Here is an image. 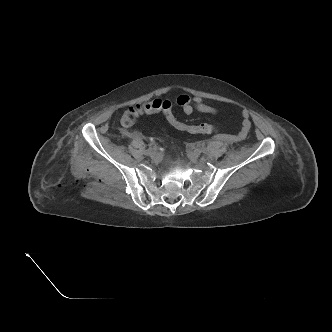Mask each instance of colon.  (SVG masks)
<instances>
[{
    "instance_id": "obj_1",
    "label": "colon",
    "mask_w": 332,
    "mask_h": 332,
    "mask_svg": "<svg viewBox=\"0 0 332 332\" xmlns=\"http://www.w3.org/2000/svg\"><path fill=\"white\" fill-rule=\"evenodd\" d=\"M162 114L167 123L174 129L191 135L209 134L216 130L212 123L190 124L184 121L173 109L171 101L156 98L129 108L122 116V123L131 126L138 117L144 114Z\"/></svg>"
}]
</instances>
